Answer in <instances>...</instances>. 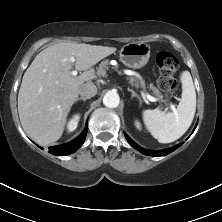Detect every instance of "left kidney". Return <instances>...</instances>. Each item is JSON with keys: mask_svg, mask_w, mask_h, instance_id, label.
Instances as JSON below:
<instances>
[{"mask_svg": "<svg viewBox=\"0 0 222 222\" xmlns=\"http://www.w3.org/2000/svg\"><path fill=\"white\" fill-rule=\"evenodd\" d=\"M135 126L140 130L141 129V124L139 121H136L135 122Z\"/></svg>", "mask_w": 222, "mask_h": 222, "instance_id": "obj_1", "label": "left kidney"}]
</instances>
